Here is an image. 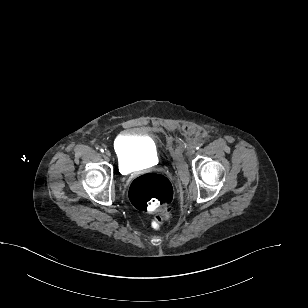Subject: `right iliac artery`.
<instances>
[{
    "mask_svg": "<svg viewBox=\"0 0 308 308\" xmlns=\"http://www.w3.org/2000/svg\"><path fill=\"white\" fill-rule=\"evenodd\" d=\"M100 151H101V152H104V149L101 148Z\"/></svg>",
    "mask_w": 308,
    "mask_h": 308,
    "instance_id": "82829eb1",
    "label": "right iliac artery"
}]
</instances>
